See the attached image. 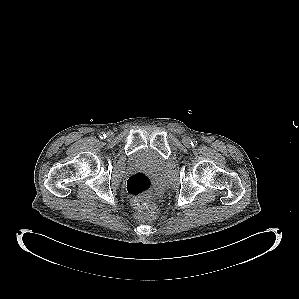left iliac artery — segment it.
<instances>
[{"label": "left iliac artery", "instance_id": "obj_1", "mask_svg": "<svg viewBox=\"0 0 299 299\" xmlns=\"http://www.w3.org/2000/svg\"><path fill=\"white\" fill-rule=\"evenodd\" d=\"M191 145L194 147L197 145V141L195 139L191 140Z\"/></svg>", "mask_w": 299, "mask_h": 299}]
</instances>
